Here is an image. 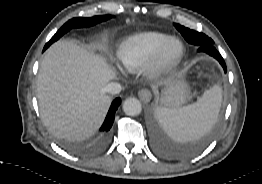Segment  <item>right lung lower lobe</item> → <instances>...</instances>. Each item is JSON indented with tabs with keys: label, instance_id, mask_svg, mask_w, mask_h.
<instances>
[{
	"label": "right lung lower lobe",
	"instance_id": "98d812e1",
	"mask_svg": "<svg viewBox=\"0 0 262 184\" xmlns=\"http://www.w3.org/2000/svg\"><path fill=\"white\" fill-rule=\"evenodd\" d=\"M120 103H121V99L116 98L111 104V107L108 111V114L105 118V121L100 128V141L101 142H106V140L109 136V131H110L112 124L114 122V115H115V112H116L118 106L120 105Z\"/></svg>",
	"mask_w": 262,
	"mask_h": 184
}]
</instances>
